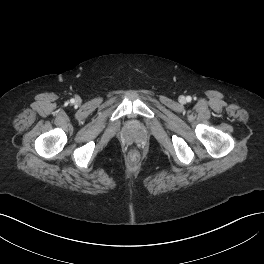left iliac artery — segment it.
I'll list each match as a JSON object with an SVG mask.
<instances>
[{"label": "left iliac artery", "mask_w": 264, "mask_h": 264, "mask_svg": "<svg viewBox=\"0 0 264 264\" xmlns=\"http://www.w3.org/2000/svg\"><path fill=\"white\" fill-rule=\"evenodd\" d=\"M187 101L190 102L191 101V97H187Z\"/></svg>", "instance_id": "1"}]
</instances>
